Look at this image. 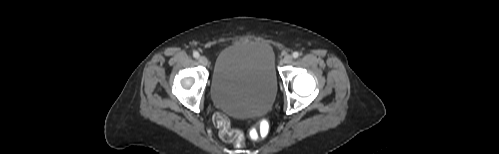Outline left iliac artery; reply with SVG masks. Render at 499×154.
I'll list each match as a JSON object with an SVG mask.
<instances>
[{"label": "left iliac artery", "mask_w": 499, "mask_h": 154, "mask_svg": "<svg viewBox=\"0 0 499 154\" xmlns=\"http://www.w3.org/2000/svg\"><path fill=\"white\" fill-rule=\"evenodd\" d=\"M292 56H293V58H295V59H296V58H298V57H299V53L295 51V52H293Z\"/></svg>", "instance_id": "44dca946"}]
</instances>
